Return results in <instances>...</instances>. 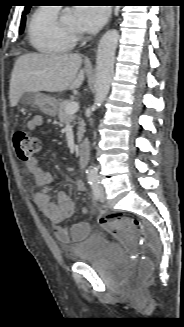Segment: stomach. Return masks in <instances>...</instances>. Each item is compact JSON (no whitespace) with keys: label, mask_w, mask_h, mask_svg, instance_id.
<instances>
[{"label":"stomach","mask_w":184,"mask_h":327,"mask_svg":"<svg viewBox=\"0 0 184 327\" xmlns=\"http://www.w3.org/2000/svg\"><path fill=\"white\" fill-rule=\"evenodd\" d=\"M21 102L23 104H34L44 114L51 117H55L58 111L57 99L43 93H27L22 97Z\"/></svg>","instance_id":"obj_1"}]
</instances>
